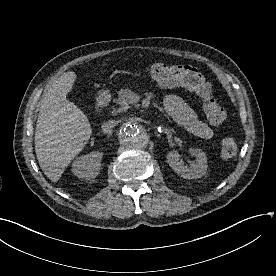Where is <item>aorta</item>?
Returning a JSON list of instances; mask_svg holds the SVG:
<instances>
[{
	"instance_id": "762f6f07",
	"label": "aorta",
	"mask_w": 276,
	"mask_h": 276,
	"mask_svg": "<svg viewBox=\"0 0 276 276\" xmlns=\"http://www.w3.org/2000/svg\"><path fill=\"white\" fill-rule=\"evenodd\" d=\"M123 143L133 149L145 148L148 144V135L135 122L124 123L119 131Z\"/></svg>"
}]
</instances>
